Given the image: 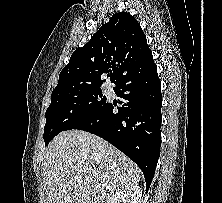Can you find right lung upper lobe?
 Masks as SVG:
<instances>
[{"label":"right lung upper lobe","instance_id":"obj_1","mask_svg":"<svg viewBox=\"0 0 222 203\" xmlns=\"http://www.w3.org/2000/svg\"><path fill=\"white\" fill-rule=\"evenodd\" d=\"M152 51L137 20L127 12L114 14L101 26L90 41L77 48L68 65L61 71L53 90L59 91L85 85H101L104 73L111 82L151 61Z\"/></svg>","mask_w":222,"mask_h":203}]
</instances>
